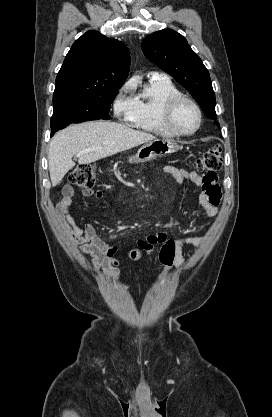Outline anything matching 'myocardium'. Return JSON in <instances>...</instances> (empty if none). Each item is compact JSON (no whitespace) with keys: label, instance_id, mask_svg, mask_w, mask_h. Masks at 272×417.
Listing matches in <instances>:
<instances>
[{"label":"myocardium","instance_id":"myocardium-1","mask_svg":"<svg viewBox=\"0 0 272 417\" xmlns=\"http://www.w3.org/2000/svg\"><path fill=\"white\" fill-rule=\"evenodd\" d=\"M189 103L191 106L194 107V109L197 112V116H198V122L196 127L189 132H183L178 130L175 125H174V114L175 111L177 109V107L181 104V103ZM161 118H162V123L164 125V127L174 136H178V137H188V136H192L194 135L201 127L202 125V120H203V115H202V110L200 108V106L198 105V103L193 100L192 98H190L187 95L184 94H176L173 95L171 97H169L166 102L163 105L162 108V114H161Z\"/></svg>","mask_w":272,"mask_h":417}]
</instances>
